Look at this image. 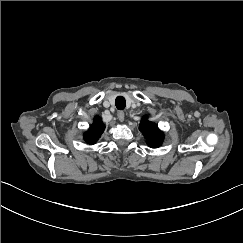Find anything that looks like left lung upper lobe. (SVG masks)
<instances>
[{
	"label": "left lung upper lobe",
	"mask_w": 243,
	"mask_h": 243,
	"mask_svg": "<svg viewBox=\"0 0 243 243\" xmlns=\"http://www.w3.org/2000/svg\"><path fill=\"white\" fill-rule=\"evenodd\" d=\"M140 131L146 138V143L151 148H158L162 145L164 136L155 123L150 122L147 117H143L141 120Z\"/></svg>",
	"instance_id": "1"
}]
</instances>
